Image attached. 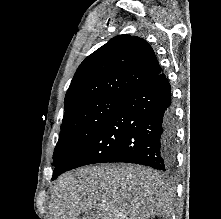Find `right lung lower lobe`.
Listing matches in <instances>:
<instances>
[{"label":"right lung lower lobe","mask_w":221,"mask_h":219,"mask_svg":"<svg viewBox=\"0 0 221 219\" xmlns=\"http://www.w3.org/2000/svg\"><path fill=\"white\" fill-rule=\"evenodd\" d=\"M175 152L170 84L160 73L126 94L97 132L56 166L52 180L65 171L106 162L168 171L175 164Z\"/></svg>","instance_id":"98d812e1"}]
</instances>
